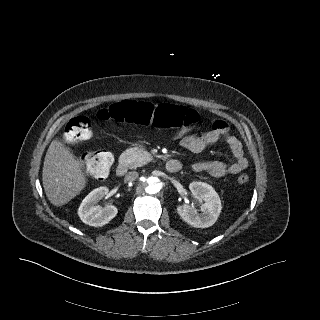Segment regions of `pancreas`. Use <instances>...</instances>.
Listing matches in <instances>:
<instances>
[{"instance_id":"pancreas-1","label":"pancreas","mask_w":320,"mask_h":320,"mask_svg":"<svg viewBox=\"0 0 320 320\" xmlns=\"http://www.w3.org/2000/svg\"><path fill=\"white\" fill-rule=\"evenodd\" d=\"M149 161V154L143 149L129 148L124 151L119 158L120 164L125 165L129 169H136L145 165Z\"/></svg>"}]
</instances>
